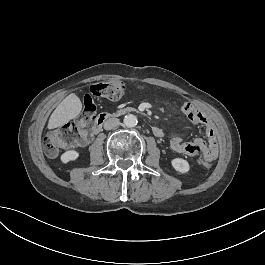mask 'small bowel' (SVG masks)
Instances as JSON below:
<instances>
[{
	"instance_id": "1",
	"label": "small bowel",
	"mask_w": 265,
	"mask_h": 265,
	"mask_svg": "<svg viewBox=\"0 0 265 265\" xmlns=\"http://www.w3.org/2000/svg\"><path fill=\"white\" fill-rule=\"evenodd\" d=\"M180 110L192 123L205 126L208 143L200 138L193 141H185L180 137H173L169 142L171 150L187 156L202 154L208 163L215 161L218 155V148L211 122L191 102L182 103Z\"/></svg>"
}]
</instances>
